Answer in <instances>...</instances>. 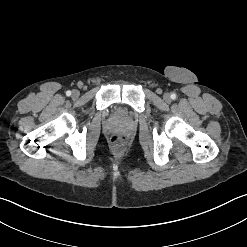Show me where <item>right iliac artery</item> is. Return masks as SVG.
I'll return each instance as SVG.
<instances>
[{
  "mask_svg": "<svg viewBox=\"0 0 247 247\" xmlns=\"http://www.w3.org/2000/svg\"><path fill=\"white\" fill-rule=\"evenodd\" d=\"M66 95H67V96H70V95H71V91H67V92H66Z\"/></svg>",
  "mask_w": 247,
  "mask_h": 247,
  "instance_id": "right-iliac-artery-1",
  "label": "right iliac artery"
}]
</instances>
